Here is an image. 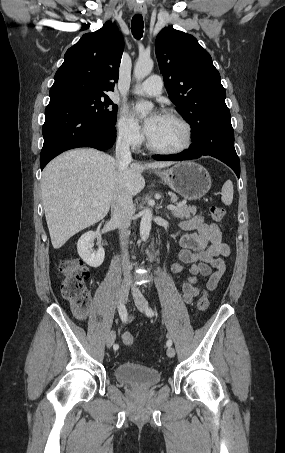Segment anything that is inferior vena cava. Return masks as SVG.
Segmentation results:
<instances>
[{"instance_id": "1", "label": "inferior vena cava", "mask_w": 285, "mask_h": 453, "mask_svg": "<svg viewBox=\"0 0 285 453\" xmlns=\"http://www.w3.org/2000/svg\"><path fill=\"white\" fill-rule=\"evenodd\" d=\"M115 157L122 166H128V164L132 161L130 139L128 137L120 136L117 139ZM133 214L134 205L132 196L123 191L115 192L111 201V222L120 230V241L123 251L122 265L125 281H130L129 274L131 266L129 264L126 245L127 238L130 235L128 228Z\"/></svg>"}]
</instances>
